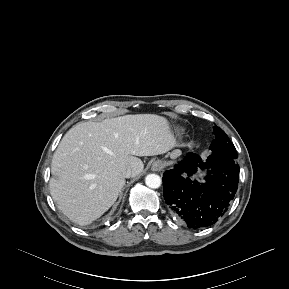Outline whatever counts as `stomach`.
<instances>
[{
    "instance_id": "0dacf381",
    "label": "stomach",
    "mask_w": 289,
    "mask_h": 289,
    "mask_svg": "<svg viewBox=\"0 0 289 289\" xmlns=\"http://www.w3.org/2000/svg\"><path fill=\"white\" fill-rule=\"evenodd\" d=\"M177 155V153L176 152H174V153H172V157H175Z\"/></svg>"
}]
</instances>
